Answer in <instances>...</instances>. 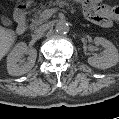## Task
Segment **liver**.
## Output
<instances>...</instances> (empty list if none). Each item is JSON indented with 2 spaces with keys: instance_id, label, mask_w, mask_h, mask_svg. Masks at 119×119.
<instances>
[{
  "instance_id": "6515ba94",
  "label": "liver",
  "mask_w": 119,
  "mask_h": 119,
  "mask_svg": "<svg viewBox=\"0 0 119 119\" xmlns=\"http://www.w3.org/2000/svg\"><path fill=\"white\" fill-rule=\"evenodd\" d=\"M12 44V35L0 27V61L8 53Z\"/></svg>"
}]
</instances>
